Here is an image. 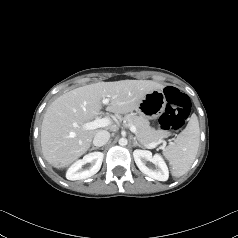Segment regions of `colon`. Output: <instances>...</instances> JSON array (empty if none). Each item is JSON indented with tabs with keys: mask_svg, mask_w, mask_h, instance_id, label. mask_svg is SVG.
<instances>
[{
	"mask_svg": "<svg viewBox=\"0 0 238 238\" xmlns=\"http://www.w3.org/2000/svg\"><path fill=\"white\" fill-rule=\"evenodd\" d=\"M164 95L167 105L165 112L160 117V126L164 130H178L184 125L189 115L190 99L172 86L165 88Z\"/></svg>",
	"mask_w": 238,
	"mask_h": 238,
	"instance_id": "5ec220e1",
	"label": "colon"
}]
</instances>
